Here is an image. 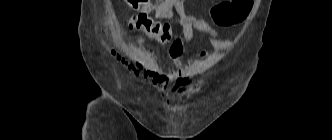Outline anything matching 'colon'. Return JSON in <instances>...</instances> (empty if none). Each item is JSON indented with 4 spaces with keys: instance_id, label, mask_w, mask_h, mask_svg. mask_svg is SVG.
Wrapping results in <instances>:
<instances>
[{
    "instance_id": "obj_1",
    "label": "colon",
    "mask_w": 332,
    "mask_h": 140,
    "mask_svg": "<svg viewBox=\"0 0 332 140\" xmlns=\"http://www.w3.org/2000/svg\"><path fill=\"white\" fill-rule=\"evenodd\" d=\"M134 10L153 7V0H124ZM160 4L164 0H156ZM253 6V0H225L211 9V17L219 26H231L246 19ZM129 27L144 31L150 37H170L174 34L173 26L168 22L153 19L147 12H142L129 19Z\"/></svg>"
}]
</instances>
